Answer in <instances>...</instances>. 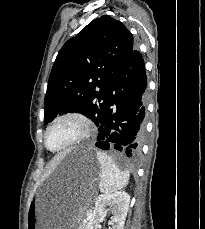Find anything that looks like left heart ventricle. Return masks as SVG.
<instances>
[{"mask_svg": "<svg viewBox=\"0 0 205 229\" xmlns=\"http://www.w3.org/2000/svg\"><path fill=\"white\" fill-rule=\"evenodd\" d=\"M78 132L79 127L74 121H61L50 130L47 137L48 146L52 149L61 147L72 140Z\"/></svg>", "mask_w": 205, "mask_h": 229, "instance_id": "obj_1", "label": "left heart ventricle"}]
</instances>
